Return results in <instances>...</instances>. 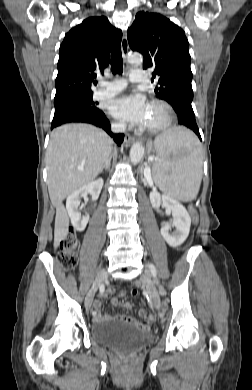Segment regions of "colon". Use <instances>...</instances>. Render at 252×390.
<instances>
[{"label": "colon", "instance_id": "1", "mask_svg": "<svg viewBox=\"0 0 252 390\" xmlns=\"http://www.w3.org/2000/svg\"><path fill=\"white\" fill-rule=\"evenodd\" d=\"M189 213L192 217L193 223L198 222L197 211L193 205L189 206ZM79 246V241L77 236L71 232L60 242V251L57 256L58 263L66 271L72 270L78 263L77 248ZM120 293H124L121 291ZM132 296L137 295V290L133 289L131 291Z\"/></svg>", "mask_w": 252, "mask_h": 390}]
</instances>
